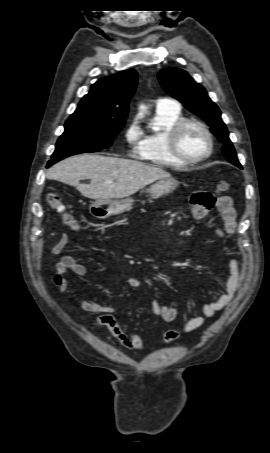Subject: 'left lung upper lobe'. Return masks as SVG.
<instances>
[{"label":"left lung upper lobe","mask_w":270,"mask_h":453,"mask_svg":"<svg viewBox=\"0 0 270 453\" xmlns=\"http://www.w3.org/2000/svg\"><path fill=\"white\" fill-rule=\"evenodd\" d=\"M158 78L168 94L184 103L191 112L209 124L212 133L220 141L224 142L222 153L225 158L235 166L242 168L232 142L228 137V130L221 119V112L209 98L204 87L196 83L186 71L177 68L161 70Z\"/></svg>","instance_id":"5c2ea615"}]
</instances>
